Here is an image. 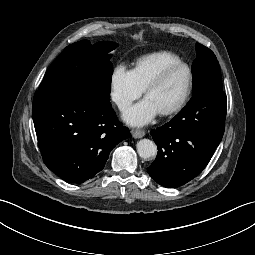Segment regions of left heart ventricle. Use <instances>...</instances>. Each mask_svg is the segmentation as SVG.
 <instances>
[{"label":"left heart ventricle","mask_w":255,"mask_h":255,"mask_svg":"<svg viewBox=\"0 0 255 255\" xmlns=\"http://www.w3.org/2000/svg\"><path fill=\"white\" fill-rule=\"evenodd\" d=\"M188 84V75L184 68L170 71L164 80L147 95L158 111L165 110L177 104L184 96Z\"/></svg>","instance_id":"b2bd125f"}]
</instances>
